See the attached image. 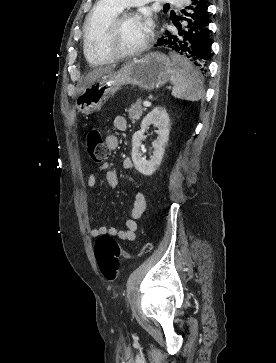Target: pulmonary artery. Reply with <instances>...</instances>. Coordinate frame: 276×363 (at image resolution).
Wrapping results in <instances>:
<instances>
[{"label": "pulmonary artery", "instance_id": "pulmonary-artery-1", "mask_svg": "<svg viewBox=\"0 0 276 363\" xmlns=\"http://www.w3.org/2000/svg\"><path fill=\"white\" fill-rule=\"evenodd\" d=\"M110 1H112L116 5H118L120 9H123V8L129 7V6L142 5V4H145V3L149 2V1H153V0H110ZM156 1L173 2L174 0H156Z\"/></svg>", "mask_w": 276, "mask_h": 363}]
</instances>
